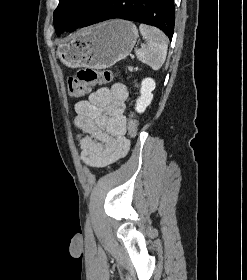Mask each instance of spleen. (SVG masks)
Listing matches in <instances>:
<instances>
[{"mask_svg":"<svg viewBox=\"0 0 247 280\" xmlns=\"http://www.w3.org/2000/svg\"><path fill=\"white\" fill-rule=\"evenodd\" d=\"M139 31L146 44L137 50V58L153 70L160 69L167 55L168 39L166 35L160 29L146 24H141Z\"/></svg>","mask_w":247,"mask_h":280,"instance_id":"obj_1","label":"spleen"}]
</instances>
